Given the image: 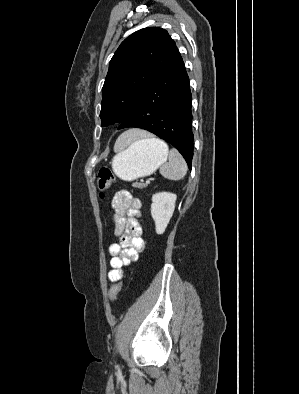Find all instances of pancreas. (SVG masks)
<instances>
[{
	"mask_svg": "<svg viewBox=\"0 0 299 394\" xmlns=\"http://www.w3.org/2000/svg\"><path fill=\"white\" fill-rule=\"evenodd\" d=\"M146 186H147V184H144V183H134L133 184V187H136V188H139V189H142V188H144Z\"/></svg>",
	"mask_w": 299,
	"mask_h": 394,
	"instance_id": "1",
	"label": "pancreas"
}]
</instances>
